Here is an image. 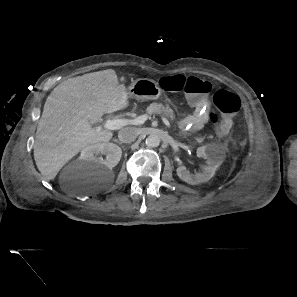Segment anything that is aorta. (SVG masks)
I'll list each match as a JSON object with an SVG mask.
<instances>
[{
	"instance_id": "aorta-1",
	"label": "aorta",
	"mask_w": 297,
	"mask_h": 297,
	"mask_svg": "<svg viewBox=\"0 0 297 297\" xmlns=\"http://www.w3.org/2000/svg\"><path fill=\"white\" fill-rule=\"evenodd\" d=\"M160 137L158 135L152 134L146 138V145L149 147H157L160 145Z\"/></svg>"
}]
</instances>
